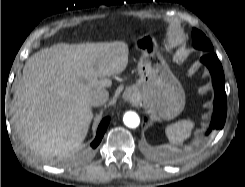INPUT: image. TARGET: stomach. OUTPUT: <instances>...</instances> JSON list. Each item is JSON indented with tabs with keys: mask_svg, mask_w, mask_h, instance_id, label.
I'll use <instances>...</instances> for the list:
<instances>
[{
	"mask_svg": "<svg viewBox=\"0 0 245 187\" xmlns=\"http://www.w3.org/2000/svg\"><path fill=\"white\" fill-rule=\"evenodd\" d=\"M135 47L142 55L139 78L130 87L134 98L162 119L175 118L184 108L185 93L159 52L156 34L149 32L137 38Z\"/></svg>",
	"mask_w": 245,
	"mask_h": 187,
	"instance_id": "0dacf381",
	"label": "stomach"
}]
</instances>
